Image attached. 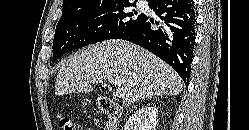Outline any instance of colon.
<instances>
[{
	"label": "colon",
	"mask_w": 249,
	"mask_h": 130,
	"mask_svg": "<svg viewBox=\"0 0 249 130\" xmlns=\"http://www.w3.org/2000/svg\"><path fill=\"white\" fill-rule=\"evenodd\" d=\"M58 127L60 130H81L80 125L68 116H59Z\"/></svg>",
	"instance_id": "1"
}]
</instances>
